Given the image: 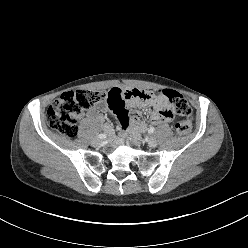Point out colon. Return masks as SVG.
<instances>
[{
	"label": "colon",
	"mask_w": 248,
	"mask_h": 248,
	"mask_svg": "<svg viewBox=\"0 0 248 248\" xmlns=\"http://www.w3.org/2000/svg\"><path fill=\"white\" fill-rule=\"evenodd\" d=\"M169 102V113L176 112L182 119L176 124L179 134H187L192 126V111L183 95L175 90H164ZM107 100L106 92L94 90H73L64 92L47 110L48 125L61 135L73 138L78 131V118L95 104Z\"/></svg>",
	"instance_id": "obj_1"
}]
</instances>
